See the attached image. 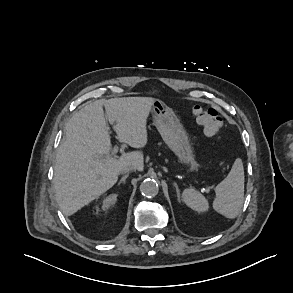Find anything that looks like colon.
Listing matches in <instances>:
<instances>
[{
	"mask_svg": "<svg viewBox=\"0 0 293 293\" xmlns=\"http://www.w3.org/2000/svg\"><path fill=\"white\" fill-rule=\"evenodd\" d=\"M192 112L197 123L202 126L205 135L219 137L223 127V120L216 109L196 105L193 107Z\"/></svg>",
	"mask_w": 293,
	"mask_h": 293,
	"instance_id": "obj_1",
	"label": "colon"
}]
</instances>
